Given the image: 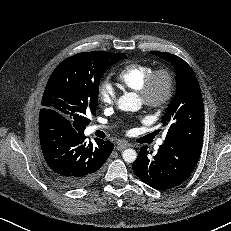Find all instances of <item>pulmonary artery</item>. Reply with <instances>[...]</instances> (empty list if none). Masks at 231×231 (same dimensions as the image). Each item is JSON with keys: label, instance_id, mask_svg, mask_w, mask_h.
<instances>
[{"label": "pulmonary artery", "instance_id": "pulmonary-artery-1", "mask_svg": "<svg viewBox=\"0 0 231 231\" xmlns=\"http://www.w3.org/2000/svg\"><path fill=\"white\" fill-rule=\"evenodd\" d=\"M101 129H106L105 126H101V125H94L91 127L90 131L93 132L95 130H101ZM163 143V140H159L158 143H157V148L162 145Z\"/></svg>", "mask_w": 231, "mask_h": 231}]
</instances>
